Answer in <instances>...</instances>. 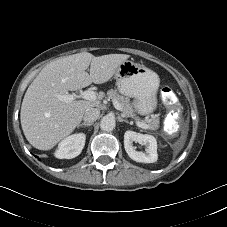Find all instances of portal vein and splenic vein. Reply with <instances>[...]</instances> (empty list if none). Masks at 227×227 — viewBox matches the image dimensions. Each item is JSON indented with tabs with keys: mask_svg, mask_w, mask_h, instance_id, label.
Here are the masks:
<instances>
[{
	"mask_svg": "<svg viewBox=\"0 0 227 227\" xmlns=\"http://www.w3.org/2000/svg\"><path fill=\"white\" fill-rule=\"evenodd\" d=\"M57 97L59 100L65 103H70L78 97L83 98L85 100H90V101H95L97 99L96 93L92 90H85L84 92H81L79 96L75 94H63V95L58 94ZM113 104L116 109L121 110V106L119 105V103L113 102ZM136 125L143 129H148V125L144 122L136 121Z\"/></svg>",
	"mask_w": 227,
	"mask_h": 227,
	"instance_id": "1",
	"label": "portal vein and splenic vein"
}]
</instances>
